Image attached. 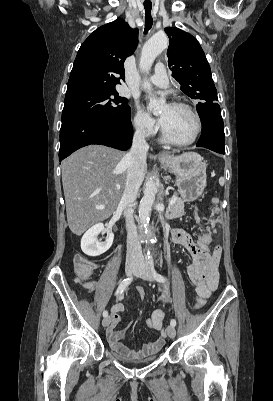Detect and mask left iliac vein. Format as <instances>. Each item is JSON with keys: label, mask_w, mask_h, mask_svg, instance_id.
Returning <instances> with one entry per match:
<instances>
[{"label": "left iliac vein", "mask_w": 273, "mask_h": 401, "mask_svg": "<svg viewBox=\"0 0 273 401\" xmlns=\"http://www.w3.org/2000/svg\"><path fill=\"white\" fill-rule=\"evenodd\" d=\"M138 265H139V268H138V270L135 272V275L141 277V278L144 279V280L153 281V277H152V274H151V270H150V268L147 266V264L144 263V262H141V263H139ZM166 332H167V334H168V336H169L170 338H174V337L176 336L175 328H174L173 326H171V325H169V326L167 327Z\"/></svg>", "instance_id": "4c4485c4"}]
</instances>
